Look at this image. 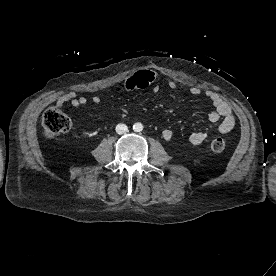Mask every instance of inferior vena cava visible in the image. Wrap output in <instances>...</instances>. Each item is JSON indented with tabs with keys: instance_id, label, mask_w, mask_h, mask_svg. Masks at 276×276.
<instances>
[{
	"instance_id": "602c4592",
	"label": "inferior vena cava",
	"mask_w": 276,
	"mask_h": 276,
	"mask_svg": "<svg viewBox=\"0 0 276 276\" xmlns=\"http://www.w3.org/2000/svg\"><path fill=\"white\" fill-rule=\"evenodd\" d=\"M128 131V127L125 124H118L116 126V132L118 134H124Z\"/></svg>"
}]
</instances>
